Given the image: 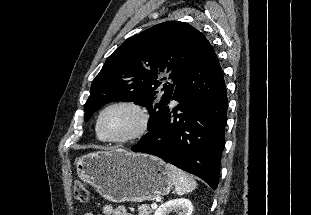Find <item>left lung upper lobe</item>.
<instances>
[{
  "label": "left lung upper lobe",
  "instance_id": "left-lung-upper-lobe-1",
  "mask_svg": "<svg viewBox=\"0 0 311 215\" xmlns=\"http://www.w3.org/2000/svg\"><path fill=\"white\" fill-rule=\"evenodd\" d=\"M205 39L200 31L179 21L160 23L127 39L93 80L84 107L85 121L104 104L127 101L147 108L150 129ZM167 78L173 84H163ZM162 85L164 94L160 95Z\"/></svg>",
  "mask_w": 311,
  "mask_h": 215
}]
</instances>
